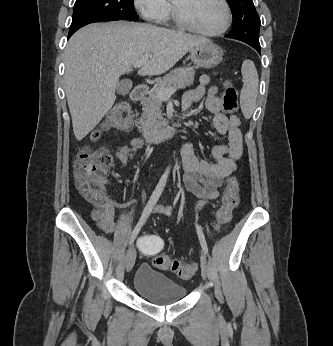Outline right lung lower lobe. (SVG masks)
<instances>
[{"label": "right lung lower lobe", "instance_id": "right-lung-lower-lobe-1", "mask_svg": "<svg viewBox=\"0 0 333 346\" xmlns=\"http://www.w3.org/2000/svg\"><path fill=\"white\" fill-rule=\"evenodd\" d=\"M73 33H74V32H69V34H68V39L72 36Z\"/></svg>", "mask_w": 333, "mask_h": 346}]
</instances>
